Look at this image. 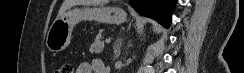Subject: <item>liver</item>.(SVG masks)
I'll list each match as a JSON object with an SVG mask.
<instances>
[{
	"mask_svg": "<svg viewBox=\"0 0 244 73\" xmlns=\"http://www.w3.org/2000/svg\"><path fill=\"white\" fill-rule=\"evenodd\" d=\"M103 3L104 1L102 0H64L58 12L57 18H60L68 9L75 5H99Z\"/></svg>",
	"mask_w": 244,
	"mask_h": 73,
	"instance_id": "liver-1",
	"label": "liver"
}]
</instances>
